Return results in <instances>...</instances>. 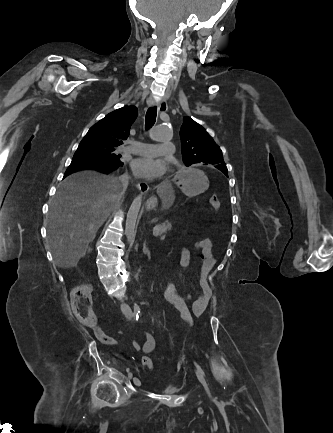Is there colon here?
I'll list each match as a JSON object with an SVG mask.
<instances>
[{"mask_svg":"<svg viewBox=\"0 0 333 433\" xmlns=\"http://www.w3.org/2000/svg\"><path fill=\"white\" fill-rule=\"evenodd\" d=\"M209 202L212 208L216 211L220 209V201L217 195L213 194L210 196ZM166 285L162 288V298L164 303L170 305L173 309L180 314V318L184 321L185 328L188 330L192 326L198 325V320L193 319V315L187 306V302L180 296L174 285H171V280H166ZM175 289V290H174ZM174 290V291H173ZM71 308L75 317L84 325L92 327L96 325L97 318L92 309V297H91V286L87 283H80L75 286L70 294ZM144 367L152 369L153 364L149 356H144L141 360Z\"/></svg>","mask_w":333,"mask_h":433,"instance_id":"obj_1","label":"colon"}]
</instances>
